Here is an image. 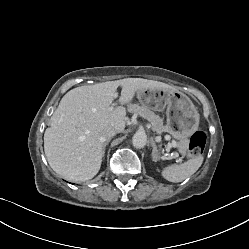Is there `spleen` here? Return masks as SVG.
Wrapping results in <instances>:
<instances>
[{"label": "spleen", "mask_w": 249, "mask_h": 249, "mask_svg": "<svg viewBox=\"0 0 249 249\" xmlns=\"http://www.w3.org/2000/svg\"><path fill=\"white\" fill-rule=\"evenodd\" d=\"M203 156H196L182 164H173L162 170V176L170 182H182L193 175L202 165Z\"/></svg>", "instance_id": "spleen-1"}]
</instances>
